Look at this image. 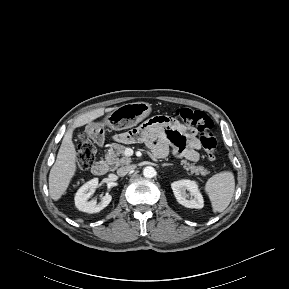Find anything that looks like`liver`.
<instances>
[{"instance_id": "liver-1", "label": "liver", "mask_w": 289, "mask_h": 289, "mask_svg": "<svg viewBox=\"0 0 289 289\" xmlns=\"http://www.w3.org/2000/svg\"><path fill=\"white\" fill-rule=\"evenodd\" d=\"M115 109L117 107L99 108L82 114L75 119L73 125L65 133L56 161L49 174V194L54 201H58L66 192L77 170L76 149L72 141L73 131L103 116L104 112L109 113Z\"/></svg>"}]
</instances>
